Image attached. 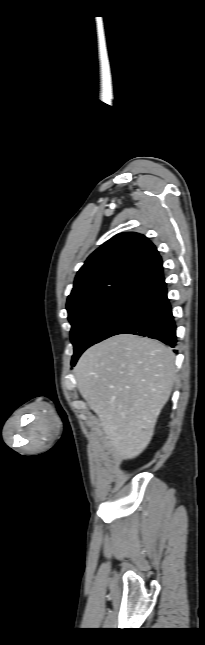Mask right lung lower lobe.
<instances>
[{
  "mask_svg": "<svg viewBox=\"0 0 205 645\" xmlns=\"http://www.w3.org/2000/svg\"><path fill=\"white\" fill-rule=\"evenodd\" d=\"M117 334L148 336L167 345H176V326L164 278L148 289L143 302L110 330L103 340Z\"/></svg>",
  "mask_w": 205,
  "mask_h": 645,
  "instance_id": "obj_1",
  "label": "right lung lower lobe"
}]
</instances>
